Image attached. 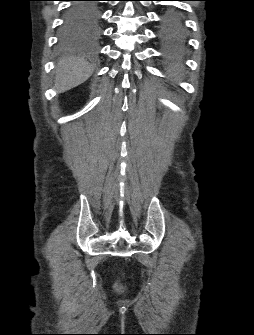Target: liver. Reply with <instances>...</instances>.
<instances>
[{
  "mask_svg": "<svg viewBox=\"0 0 254 335\" xmlns=\"http://www.w3.org/2000/svg\"><path fill=\"white\" fill-rule=\"evenodd\" d=\"M93 73V67L87 61L77 57L60 60L56 71V89L59 92L70 90L85 82Z\"/></svg>",
  "mask_w": 254,
  "mask_h": 335,
  "instance_id": "liver-1",
  "label": "liver"
}]
</instances>
